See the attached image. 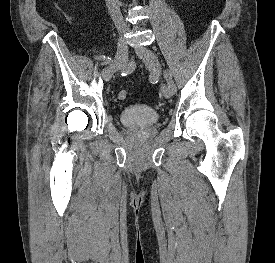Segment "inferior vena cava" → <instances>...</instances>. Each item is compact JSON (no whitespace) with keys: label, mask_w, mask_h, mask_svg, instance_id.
Listing matches in <instances>:
<instances>
[{"label":"inferior vena cava","mask_w":275,"mask_h":263,"mask_svg":"<svg viewBox=\"0 0 275 263\" xmlns=\"http://www.w3.org/2000/svg\"><path fill=\"white\" fill-rule=\"evenodd\" d=\"M108 12L110 13L116 28L119 31L128 30L127 25L123 22V17L119 7V0H105Z\"/></svg>","instance_id":"obj_1"}]
</instances>
